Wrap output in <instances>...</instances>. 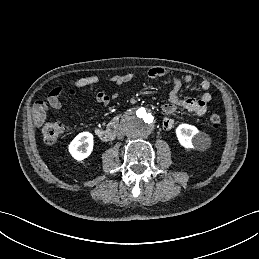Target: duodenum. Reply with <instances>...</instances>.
Listing matches in <instances>:
<instances>
[{"mask_svg": "<svg viewBox=\"0 0 259 259\" xmlns=\"http://www.w3.org/2000/svg\"><path fill=\"white\" fill-rule=\"evenodd\" d=\"M119 117L113 118L106 128H98L97 135L104 142H109L115 139L119 131Z\"/></svg>", "mask_w": 259, "mask_h": 259, "instance_id": "obj_1", "label": "duodenum"}]
</instances>
